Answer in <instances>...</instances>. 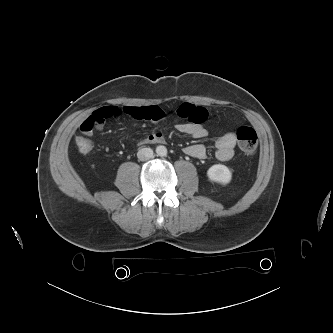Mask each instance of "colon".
Instances as JSON below:
<instances>
[{
	"instance_id": "1",
	"label": "colon",
	"mask_w": 333,
	"mask_h": 333,
	"mask_svg": "<svg viewBox=\"0 0 333 333\" xmlns=\"http://www.w3.org/2000/svg\"><path fill=\"white\" fill-rule=\"evenodd\" d=\"M236 138L239 148L244 154H254L258 145V136L253 128L240 126L236 131ZM75 143L81 153H88L92 149V142L86 137L77 136Z\"/></svg>"
}]
</instances>
